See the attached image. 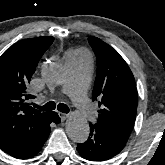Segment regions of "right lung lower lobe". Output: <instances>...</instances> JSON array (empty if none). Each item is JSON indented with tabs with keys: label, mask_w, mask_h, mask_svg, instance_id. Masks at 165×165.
<instances>
[{
	"label": "right lung lower lobe",
	"mask_w": 165,
	"mask_h": 165,
	"mask_svg": "<svg viewBox=\"0 0 165 165\" xmlns=\"http://www.w3.org/2000/svg\"><path fill=\"white\" fill-rule=\"evenodd\" d=\"M60 121L58 114L56 112H52L41 127L17 137L14 142L2 150L14 158H32L38 154L47 140V137L50 134V124H58Z\"/></svg>",
	"instance_id": "obj_1"
}]
</instances>
